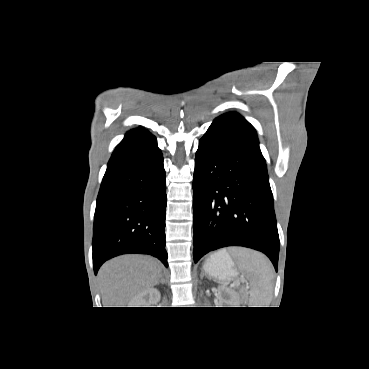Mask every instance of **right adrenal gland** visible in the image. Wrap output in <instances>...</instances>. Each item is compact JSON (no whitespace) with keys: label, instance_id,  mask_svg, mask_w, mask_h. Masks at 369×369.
I'll use <instances>...</instances> for the list:
<instances>
[{"label":"right adrenal gland","instance_id":"right-adrenal-gland-1","mask_svg":"<svg viewBox=\"0 0 369 369\" xmlns=\"http://www.w3.org/2000/svg\"><path fill=\"white\" fill-rule=\"evenodd\" d=\"M159 283H162V284H164V283H165V280H164L163 274H161L160 280L157 282V284H159Z\"/></svg>","mask_w":369,"mask_h":369}]
</instances>
